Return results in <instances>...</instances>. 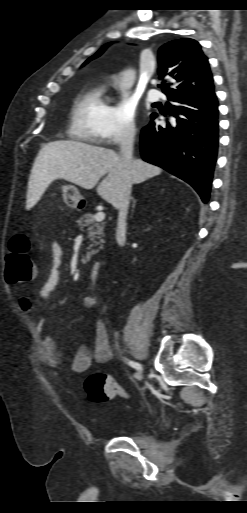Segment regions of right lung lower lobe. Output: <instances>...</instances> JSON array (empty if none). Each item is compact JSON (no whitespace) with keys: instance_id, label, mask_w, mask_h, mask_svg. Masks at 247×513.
Returning a JSON list of instances; mask_svg holds the SVG:
<instances>
[{"instance_id":"1","label":"right lung lower lobe","mask_w":247,"mask_h":513,"mask_svg":"<svg viewBox=\"0 0 247 513\" xmlns=\"http://www.w3.org/2000/svg\"><path fill=\"white\" fill-rule=\"evenodd\" d=\"M171 119L159 126L157 114L144 127L140 149L145 161L189 183L208 202L219 138L218 101L214 90L197 96L168 97Z\"/></svg>"}]
</instances>
